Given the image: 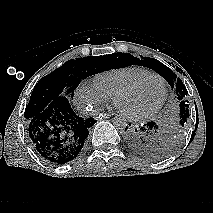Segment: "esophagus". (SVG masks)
I'll return each instance as SVG.
<instances>
[{
	"label": "esophagus",
	"mask_w": 213,
	"mask_h": 213,
	"mask_svg": "<svg viewBox=\"0 0 213 213\" xmlns=\"http://www.w3.org/2000/svg\"><path fill=\"white\" fill-rule=\"evenodd\" d=\"M102 115H103L104 118H110V117L115 116L114 113H104V114H102Z\"/></svg>",
	"instance_id": "34e87169"
}]
</instances>
